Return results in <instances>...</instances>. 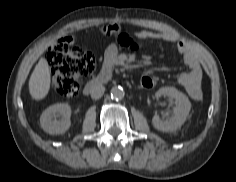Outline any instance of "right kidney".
Masks as SVG:
<instances>
[{
  "label": "right kidney",
  "instance_id": "right-kidney-1",
  "mask_svg": "<svg viewBox=\"0 0 236 182\" xmlns=\"http://www.w3.org/2000/svg\"><path fill=\"white\" fill-rule=\"evenodd\" d=\"M60 117V120H52L53 117ZM71 108L68 104L57 103L48 107L40 117L42 129L49 134L57 135L65 133L71 125Z\"/></svg>",
  "mask_w": 236,
  "mask_h": 182
}]
</instances>
